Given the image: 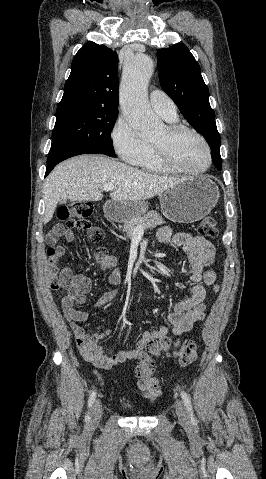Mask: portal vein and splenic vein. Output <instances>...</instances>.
Masks as SVG:
<instances>
[{
	"label": "portal vein and splenic vein",
	"mask_w": 266,
	"mask_h": 479,
	"mask_svg": "<svg viewBox=\"0 0 266 479\" xmlns=\"http://www.w3.org/2000/svg\"><path fill=\"white\" fill-rule=\"evenodd\" d=\"M114 188H115V187H114L113 184H106V185H104V187H103V191H106V192L112 191V190H114ZM136 231H138V232H143V231H144L143 226H141V225L137 226V227H136Z\"/></svg>",
	"instance_id": "1"
}]
</instances>
